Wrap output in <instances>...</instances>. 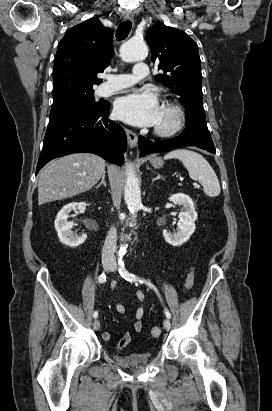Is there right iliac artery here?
Returning <instances> with one entry per match:
<instances>
[{
  "label": "right iliac artery",
  "instance_id": "right-iliac-artery-1",
  "mask_svg": "<svg viewBox=\"0 0 272 411\" xmlns=\"http://www.w3.org/2000/svg\"><path fill=\"white\" fill-rule=\"evenodd\" d=\"M98 280H99L100 283H105V282H106V275H105L104 273H102V274L99 276ZM93 317H94V318H97V317H98V312H97V311H95V312L93 313Z\"/></svg>",
  "mask_w": 272,
  "mask_h": 411
}]
</instances>
